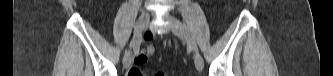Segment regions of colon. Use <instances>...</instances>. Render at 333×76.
I'll return each instance as SVG.
<instances>
[{"mask_svg": "<svg viewBox=\"0 0 333 76\" xmlns=\"http://www.w3.org/2000/svg\"><path fill=\"white\" fill-rule=\"evenodd\" d=\"M142 72L138 71L135 68H132L128 71L127 76H142ZM156 76H166L167 74L164 71H158L156 74Z\"/></svg>", "mask_w": 333, "mask_h": 76, "instance_id": "5ec220e1", "label": "colon"}]
</instances>
